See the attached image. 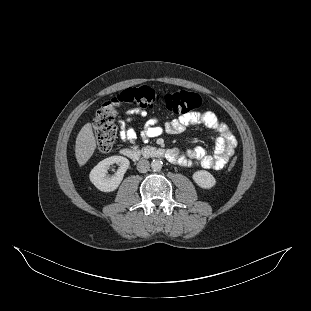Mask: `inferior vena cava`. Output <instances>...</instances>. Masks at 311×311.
<instances>
[{
    "label": "inferior vena cava",
    "instance_id": "obj_1",
    "mask_svg": "<svg viewBox=\"0 0 311 311\" xmlns=\"http://www.w3.org/2000/svg\"><path fill=\"white\" fill-rule=\"evenodd\" d=\"M150 168V163L146 159H142L137 163V170L140 173H146Z\"/></svg>",
    "mask_w": 311,
    "mask_h": 311
}]
</instances>
